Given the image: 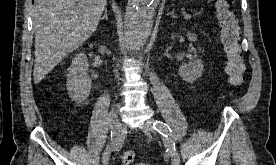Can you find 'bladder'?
I'll return each instance as SVG.
<instances>
[{"mask_svg": "<svg viewBox=\"0 0 276 165\" xmlns=\"http://www.w3.org/2000/svg\"><path fill=\"white\" fill-rule=\"evenodd\" d=\"M134 165H147V164H144V163H136Z\"/></svg>", "mask_w": 276, "mask_h": 165, "instance_id": "bladder-1", "label": "bladder"}]
</instances>
